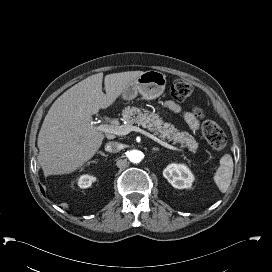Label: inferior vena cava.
I'll return each instance as SVG.
<instances>
[{"label":"inferior vena cava","instance_id":"inferior-vena-cava-1","mask_svg":"<svg viewBox=\"0 0 272 272\" xmlns=\"http://www.w3.org/2000/svg\"><path fill=\"white\" fill-rule=\"evenodd\" d=\"M122 149V144L112 141L106 144L105 150L111 153H117Z\"/></svg>","mask_w":272,"mask_h":272}]
</instances>
